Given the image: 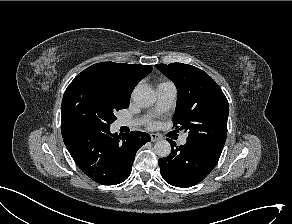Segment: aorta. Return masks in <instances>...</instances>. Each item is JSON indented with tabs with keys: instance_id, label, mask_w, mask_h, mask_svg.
Here are the masks:
<instances>
[{
	"instance_id": "obj_1",
	"label": "aorta",
	"mask_w": 292,
	"mask_h": 224,
	"mask_svg": "<svg viewBox=\"0 0 292 224\" xmlns=\"http://www.w3.org/2000/svg\"><path fill=\"white\" fill-rule=\"evenodd\" d=\"M133 99L140 107H150L156 101L155 92L148 86H138L133 92ZM154 152L159 157H167L171 153V145L167 140L157 141L154 145Z\"/></svg>"
}]
</instances>
